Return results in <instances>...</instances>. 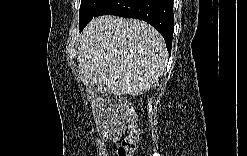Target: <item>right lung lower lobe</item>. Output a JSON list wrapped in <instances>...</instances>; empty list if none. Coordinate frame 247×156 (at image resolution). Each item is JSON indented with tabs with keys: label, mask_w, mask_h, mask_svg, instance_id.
I'll use <instances>...</instances> for the list:
<instances>
[{
	"label": "right lung lower lobe",
	"mask_w": 247,
	"mask_h": 156,
	"mask_svg": "<svg viewBox=\"0 0 247 156\" xmlns=\"http://www.w3.org/2000/svg\"><path fill=\"white\" fill-rule=\"evenodd\" d=\"M116 15L144 20L163 36L171 53L174 30L173 0H108L97 16Z\"/></svg>",
	"instance_id": "obj_1"
}]
</instances>
